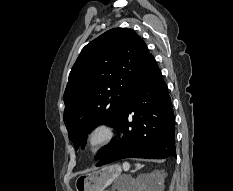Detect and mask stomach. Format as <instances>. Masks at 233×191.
Masks as SVG:
<instances>
[{"instance_id":"1","label":"stomach","mask_w":233,"mask_h":191,"mask_svg":"<svg viewBox=\"0 0 233 191\" xmlns=\"http://www.w3.org/2000/svg\"><path fill=\"white\" fill-rule=\"evenodd\" d=\"M120 173L121 167L118 165L93 170L77 178L76 191H104L119 177Z\"/></svg>"}]
</instances>
